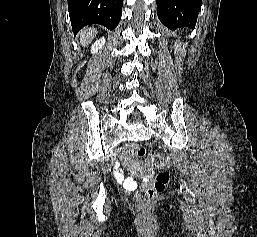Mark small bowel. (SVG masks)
Instances as JSON below:
<instances>
[{"instance_id":"1","label":"small bowel","mask_w":257,"mask_h":237,"mask_svg":"<svg viewBox=\"0 0 257 237\" xmlns=\"http://www.w3.org/2000/svg\"><path fill=\"white\" fill-rule=\"evenodd\" d=\"M124 160V158H123ZM125 161V160H124ZM115 177L119 180V181H124L125 180V176L123 171L118 167V165H116L115 167V171H114Z\"/></svg>"}]
</instances>
